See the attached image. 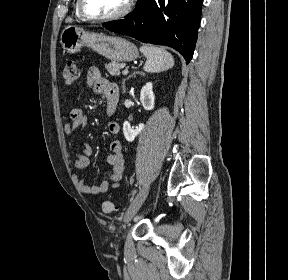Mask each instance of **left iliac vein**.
<instances>
[{
    "mask_svg": "<svg viewBox=\"0 0 288 280\" xmlns=\"http://www.w3.org/2000/svg\"><path fill=\"white\" fill-rule=\"evenodd\" d=\"M149 185L146 184L140 191V196L136 198L134 203H131L125 213L124 222L125 226L129 224L135 214L138 212L139 208L142 206L143 202L145 201L148 192H149Z\"/></svg>",
    "mask_w": 288,
    "mask_h": 280,
    "instance_id": "obj_1",
    "label": "left iliac vein"
}]
</instances>
